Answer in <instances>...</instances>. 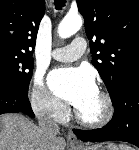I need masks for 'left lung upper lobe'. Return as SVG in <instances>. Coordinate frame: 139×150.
Returning <instances> with one entry per match:
<instances>
[{
  "label": "left lung upper lobe",
  "mask_w": 139,
  "mask_h": 150,
  "mask_svg": "<svg viewBox=\"0 0 139 150\" xmlns=\"http://www.w3.org/2000/svg\"><path fill=\"white\" fill-rule=\"evenodd\" d=\"M77 5L91 40L92 64L112 99L126 78L139 72V0H77Z\"/></svg>",
  "instance_id": "left-lung-upper-lobe-1"
}]
</instances>
